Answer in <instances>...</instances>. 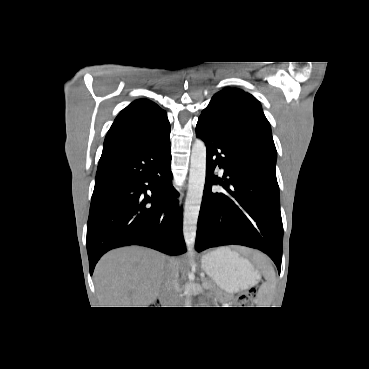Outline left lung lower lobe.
Segmentation results:
<instances>
[{
    "instance_id": "left-lung-lower-lobe-1",
    "label": "left lung lower lobe",
    "mask_w": 369,
    "mask_h": 369,
    "mask_svg": "<svg viewBox=\"0 0 369 369\" xmlns=\"http://www.w3.org/2000/svg\"><path fill=\"white\" fill-rule=\"evenodd\" d=\"M196 135L207 148L196 250L223 245L259 249L280 273L283 225L276 173L256 152L231 141L210 121L199 118ZM217 165L224 168L222 179L213 175ZM212 184L224 191L213 192Z\"/></svg>"
}]
</instances>
